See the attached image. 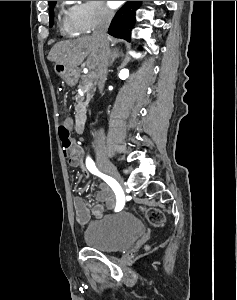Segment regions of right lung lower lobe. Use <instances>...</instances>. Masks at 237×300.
<instances>
[{
    "instance_id": "right-lung-lower-lobe-1",
    "label": "right lung lower lobe",
    "mask_w": 237,
    "mask_h": 300,
    "mask_svg": "<svg viewBox=\"0 0 237 300\" xmlns=\"http://www.w3.org/2000/svg\"><path fill=\"white\" fill-rule=\"evenodd\" d=\"M140 2L127 1L111 22L108 30L110 35L130 41L131 29L135 23V11L139 8Z\"/></svg>"
}]
</instances>
